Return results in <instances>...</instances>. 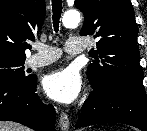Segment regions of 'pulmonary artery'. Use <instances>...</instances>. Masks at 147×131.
<instances>
[{
    "label": "pulmonary artery",
    "instance_id": "1",
    "mask_svg": "<svg viewBox=\"0 0 147 131\" xmlns=\"http://www.w3.org/2000/svg\"><path fill=\"white\" fill-rule=\"evenodd\" d=\"M36 54L27 59V65L32 68L42 67L56 61L62 54L61 50L56 47L35 43ZM68 54H80L86 50V44L79 38H69L64 47Z\"/></svg>",
    "mask_w": 147,
    "mask_h": 131
}]
</instances>
